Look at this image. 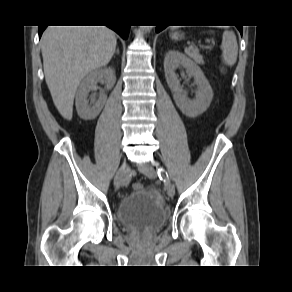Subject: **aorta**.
<instances>
[{"label": "aorta", "mask_w": 292, "mask_h": 292, "mask_svg": "<svg viewBox=\"0 0 292 292\" xmlns=\"http://www.w3.org/2000/svg\"><path fill=\"white\" fill-rule=\"evenodd\" d=\"M151 26H141L142 31H148Z\"/></svg>", "instance_id": "1"}]
</instances>
